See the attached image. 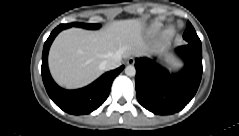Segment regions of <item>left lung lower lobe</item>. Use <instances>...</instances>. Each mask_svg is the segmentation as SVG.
<instances>
[{
    "label": "left lung lower lobe",
    "instance_id": "obj_1",
    "mask_svg": "<svg viewBox=\"0 0 239 136\" xmlns=\"http://www.w3.org/2000/svg\"><path fill=\"white\" fill-rule=\"evenodd\" d=\"M184 68L169 74L149 58H136V96L147 110L169 115L182 110L194 97L202 77V47L187 44L176 49Z\"/></svg>",
    "mask_w": 239,
    "mask_h": 136
}]
</instances>
